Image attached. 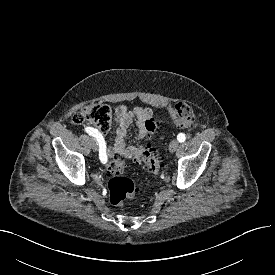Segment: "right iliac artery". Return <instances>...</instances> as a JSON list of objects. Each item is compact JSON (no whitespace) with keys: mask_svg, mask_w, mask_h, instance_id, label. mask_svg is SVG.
<instances>
[{"mask_svg":"<svg viewBox=\"0 0 275 275\" xmlns=\"http://www.w3.org/2000/svg\"><path fill=\"white\" fill-rule=\"evenodd\" d=\"M85 131L92 137H94L98 144H99V158L102 163L107 162V155H106V143L103 136L94 128L87 127Z\"/></svg>","mask_w":275,"mask_h":275,"instance_id":"right-iliac-artery-1","label":"right iliac artery"}]
</instances>
